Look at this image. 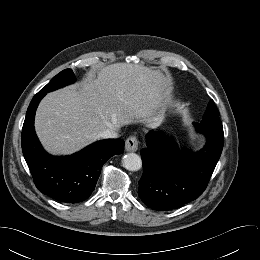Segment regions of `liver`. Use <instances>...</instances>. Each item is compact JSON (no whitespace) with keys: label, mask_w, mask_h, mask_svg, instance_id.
I'll list each match as a JSON object with an SVG mask.
<instances>
[{"label":"liver","mask_w":260,"mask_h":260,"mask_svg":"<svg viewBox=\"0 0 260 260\" xmlns=\"http://www.w3.org/2000/svg\"><path fill=\"white\" fill-rule=\"evenodd\" d=\"M168 97L159 70L115 63L90 73L79 85L48 93L35 116V130L52 154L68 155L99 139L106 129L143 122L157 127Z\"/></svg>","instance_id":"1"}]
</instances>
